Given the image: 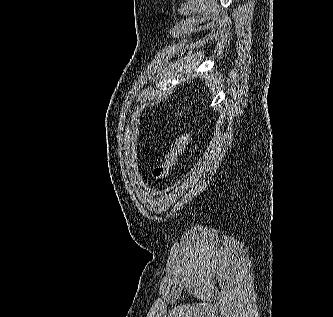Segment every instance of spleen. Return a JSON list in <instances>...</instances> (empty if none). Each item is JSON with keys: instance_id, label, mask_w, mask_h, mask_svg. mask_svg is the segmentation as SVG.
I'll return each mask as SVG.
<instances>
[{"instance_id": "1", "label": "spleen", "mask_w": 333, "mask_h": 317, "mask_svg": "<svg viewBox=\"0 0 333 317\" xmlns=\"http://www.w3.org/2000/svg\"><path fill=\"white\" fill-rule=\"evenodd\" d=\"M176 115H177V114H176ZM178 116H182V113H179V112H178Z\"/></svg>"}]
</instances>
